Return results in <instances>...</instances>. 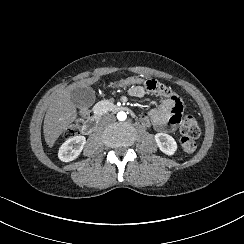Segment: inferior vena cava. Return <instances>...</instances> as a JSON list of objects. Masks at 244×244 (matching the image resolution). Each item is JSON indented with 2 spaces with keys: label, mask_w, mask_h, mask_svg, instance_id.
Here are the masks:
<instances>
[{
  "label": "inferior vena cava",
  "mask_w": 244,
  "mask_h": 244,
  "mask_svg": "<svg viewBox=\"0 0 244 244\" xmlns=\"http://www.w3.org/2000/svg\"><path fill=\"white\" fill-rule=\"evenodd\" d=\"M107 119H108V120L113 119V120L115 121V117H114L113 115H108V116H107Z\"/></svg>",
  "instance_id": "obj_1"
}]
</instances>
